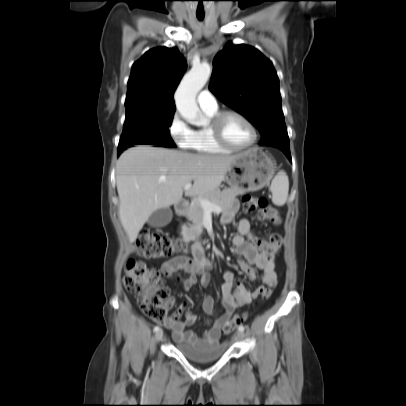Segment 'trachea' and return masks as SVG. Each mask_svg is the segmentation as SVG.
I'll return each mask as SVG.
<instances>
[{
  "label": "trachea",
  "mask_w": 406,
  "mask_h": 406,
  "mask_svg": "<svg viewBox=\"0 0 406 406\" xmlns=\"http://www.w3.org/2000/svg\"><path fill=\"white\" fill-rule=\"evenodd\" d=\"M198 19H199V20H202V19H203V17H198Z\"/></svg>",
  "instance_id": "1"
}]
</instances>
